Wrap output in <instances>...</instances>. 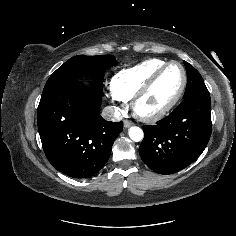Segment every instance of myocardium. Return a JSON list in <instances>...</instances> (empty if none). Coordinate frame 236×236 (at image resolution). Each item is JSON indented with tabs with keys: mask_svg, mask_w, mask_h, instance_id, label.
Returning <instances> with one entry per match:
<instances>
[{
	"mask_svg": "<svg viewBox=\"0 0 236 236\" xmlns=\"http://www.w3.org/2000/svg\"><path fill=\"white\" fill-rule=\"evenodd\" d=\"M171 65L179 66V68L182 71V83L178 92L176 93L174 98L159 111L151 113V114H145L141 112L138 109L139 102L150 92V90L158 81V79ZM186 85H187V72L184 66L180 62H177V61L166 62L163 66H161L151 75V77L144 83V85L133 96L132 102H131V108L134 115L140 120L144 122H148V123H154L161 120L178 104V102L180 101L185 91Z\"/></svg>",
	"mask_w": 236,
	"mask_h": 236,
	"instance_id": "1",
	"label": "myocardium"
}]
</instances>
